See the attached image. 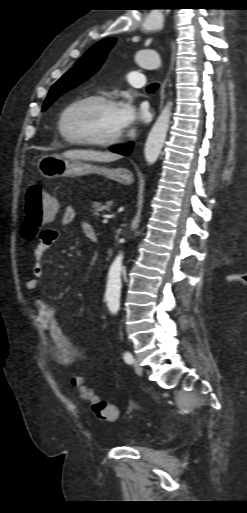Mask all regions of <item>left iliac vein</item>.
<instances>
[{"label": "left iliac vein", "instance_id": "left-iliac-vein-1", "mask_svg": "<svg viewBox=\"0 0 247 513\" xmlns=\"http://www.w3.org/2000/svg\"><path fill=\"white\" fill-rule=\"evenodd\" d=\"M134 370L135 372L138 374V375H142L143 373V368L142 366L140 365V362L138 360H134Z\"/></svg>", "mask_w": 247, "mask_h": 513}]
</instances>
